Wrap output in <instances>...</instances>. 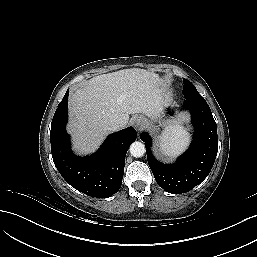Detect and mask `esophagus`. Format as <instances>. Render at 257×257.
I'll use <instances>...</instances> for the list:
<instances>
[{
    "label": "esophagus",
    "mask_w": 257,
    "mask_h": 257,
    "mask_svg": "<svg viewBox=\"0 0 257 257\" xmlns=\"http://www.w3.org/2000/svg\"><path fill=\"white\" fill-rule=\"evenodd\" d=\"M132 123H133L134 127H135L137 130H139V129H141V128L144 126L145 120H144L143 117L137 116V117H135V118L133 119V122H132Z\"/></svg>",
    "instance_id": "1"
}]
</instances>
